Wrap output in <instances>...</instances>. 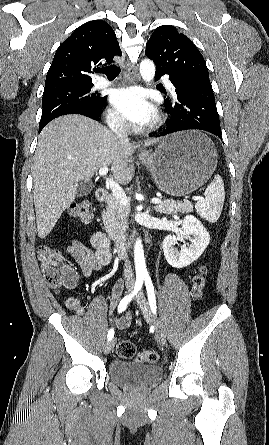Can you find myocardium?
<instances>
[{
    "label": "myocardium",
    "mask_w": 269,
    "mask_h": 445,
    "mask_svg": "<svg viewBox=\"0 0 269 445\" xmlns=\"http://www.w3.org/2000/svg\"><path fill=\"white\" fill-rule=\"evenodd\" d=\"M157 125V122L154 123L153 127Z\"/></svg>",
    "instance_id": "f54148a6"
}]
</instances>
